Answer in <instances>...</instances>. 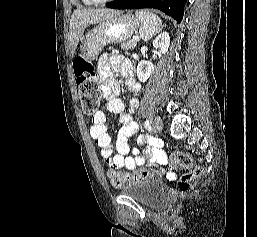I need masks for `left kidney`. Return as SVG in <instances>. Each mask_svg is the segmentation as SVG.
<instances>
[{
	"instance_id": "obj_1",
	"label": "left kidney",
	"mask_w": 257,
	"mask_h": 237,
	"mask_svg": "<svg viewBox=\"0 0 257 237\" xmlns=\"http://www.w3.org/2000/svg\"><path fill=\"white\" fill-rule=\"evenodd\" d=\"M170 45V36L167 32L159 34L153 41V47L158 49L162 54L167 53ZM155 66L145 60H141L137 66V77L139 81L146 82L153 73Z\"/></svg>"
}]
</instances>
